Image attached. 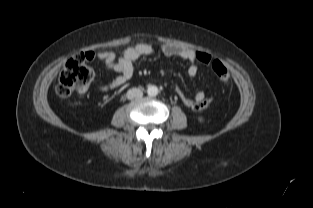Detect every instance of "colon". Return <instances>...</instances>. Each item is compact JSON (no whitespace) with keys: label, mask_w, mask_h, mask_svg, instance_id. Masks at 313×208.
<instances>
[{"label":"colon","mask_w":313,"mask_h":208,"mask_svg":"<svg viewBox=\"0 0 313 208\" xmlns=\"http://www.w3.org/2000/svg\"><path fill=\"white\" fill-rule=\"evenodd\" d=\"M91 58V54L82 53L72 57L66 63L59 75L56 86V94L59 98L65 99L75 90H83L89 85L94 76L92 68L87 64V61L91 60ZM196 59L202 64L211 65L212 70L221 83H229L230 74L220 60L212 59V57L205 52H196ZM177 93L183 103L194 110L204 109L211 103V98L196 102L194 99L188 98L181 90H177Z\"/></svg>","instance_id":"colon-1"}]
</instances>
